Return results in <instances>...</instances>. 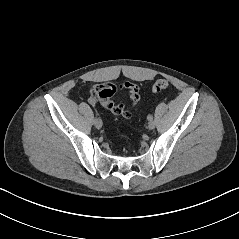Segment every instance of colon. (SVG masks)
<instances>
[{"label": "colon", "mask_w": 239, "mask_h": 239, "mask_svg": "<svg viewBox=\"0 0 239 239\" xmlns=\"http://www.w3.org/2000/svg\"><path fill=\"white\" fill-rule=\"evenodd\" d=\"M169 86V82L166 79H159L154 82L152 85V92L153 93H159L165 89H167Z\"/></svg>", "instance_id": "5ec220e1"}]
</instances>
